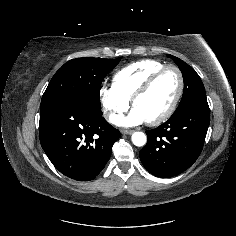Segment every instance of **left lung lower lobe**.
<instances>
[{
  "instance_id": "obj_1",
  "label": "left lung lower lobe",
  "mask_w": 236,
  "mask_h": 236,
  "mask_svg": "<svg viewBox=\"0 0 236 236\" xmlns=\"http://www.w3.org/2000/svg\"><path fill=\"white\" fill-rule=\"evenodd\" d=\"M210 120L207 100L174 112L168 121L146 131L147 144L139 156L153 175L168 178L189 168L199 157Z\"/></svg>"
}]
</instances>
